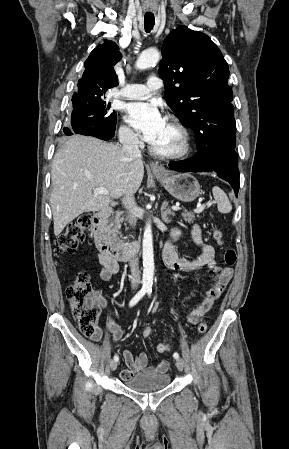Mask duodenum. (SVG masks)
Returning a JSON list of instances; mask_svg holds the SVG:
<instances>
[{"instance_id":"410a0bca","label":"duodenum","mask_w":289,"mask_h":449,"mask_svg":"<svg viewBox=\"0 0 289 449\" xmlns=\"http://www.w3.org/2000/svg\"><path fill=\"white\" fill-rule=\"evenodd\" d=\"M112 214V209L105 207L98 211L92 218L90 231L99 252L117 261H127L138 255L141 244L138 241L132 243H115L105 232V223Z\"/></svg>"}]
</instances>
